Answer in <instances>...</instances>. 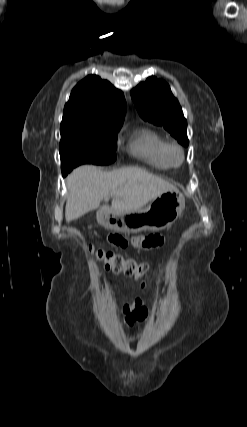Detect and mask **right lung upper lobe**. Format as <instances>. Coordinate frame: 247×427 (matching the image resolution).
<instances>
[{
	"instance_id": "right-lung-upper-lobe-1",
	"label": "right lung upper lobe",
	"mask_w": 247,
	"mask_h": 427,
	"mask_svg": "<svg viewBox=\"0 0 247 427\" xmlns=\"http://www.w3.org/2000/svg\"><path fill=\"white\" fill-rule=\"evenodd\" d=\"M126 111L123 93L99 76L89 75L72 90L63 117H77L104 126L122 125Z\"/></svg>"
}]
</instances>
